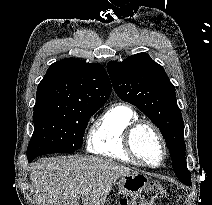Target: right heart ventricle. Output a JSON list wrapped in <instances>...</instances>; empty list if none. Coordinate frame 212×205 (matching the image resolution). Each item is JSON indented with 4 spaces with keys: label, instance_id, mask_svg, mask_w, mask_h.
<instances>
[{
    "label": "right heart ventricle",
    "instance_id": "1",
    "mask_svg": "<svg viewBox=\"0 0 212 205\" xmlns=\"http://www.w3.org/2000/svg\"><path fill=\"white\" fill-rule=\"evenodd\" d=\"M139 120L129 105L116 103L108 107L93 123L87 138L89 152L138 164L125 147V134L131 124Z\"/></svg>",
    "mask_w": 212,
    "mask_h": 205
}]
</instances>
